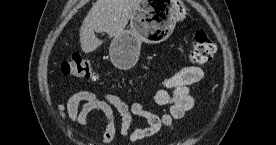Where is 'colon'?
Returning a JSON list of instances; mask_svg holds the SVG:
<instances>
[{"mask_svg": "<svg viewBox=\"0 0 276 145\" xmlns=\"http://www.w3.org/2000/svg\"><path fill=\"white\" fill-rule=\"evenodd\" d=\"M216 46L204 32H197L194 35L189 59L194 65H204L215 54ZM62 73L66 76L85 79L90 81L98 80V74L91 62L81 55H72L65 59L61 65Z\"/></svg>", "mask_w": 276, "mask_h": 145, "instance_id": "colon-1", "label": "colon"}]
</instances>
